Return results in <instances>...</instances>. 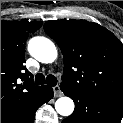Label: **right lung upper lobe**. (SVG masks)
Returning a JSON list of instances; mask_svg holds the SVG:
<instances>
[{
  "label": "right lung upper lobe",
  "instance_id": "right-lung-upper-lobe-1",
  "mask_svg": "<svg viewBox=\"0 0 123 123\" xmlns=\"http://www.w3.org/2000/svg\"><path fill=\"white\" fill-rule=\"evenodd\" d=\"M41 25L37 21H1V117L29 104L42 90L24 66L26 39Z\"/></svg>",
  "mask_w": 123,
  "mask_h": 123
}]
</instances>
